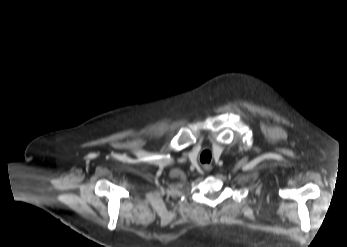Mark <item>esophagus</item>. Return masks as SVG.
I'll return each instance as SVG.
<instances>
[{
    "label": "esophagus",
    "instance_id": "1",
    "mask_svg": "<svg viewBox=\"0 0 347 247\" xmlns=\"http://www.w3.org/2000/svg\"><path fill=\"white\" fill-rule=\"evenodd\" d=\"M205 169H206L207 171H210V170H211V166H210V165H206V166H205Z\"/></svg>",
    "mask_w": 347,
    "mask_h": 247
}]
</instances>
